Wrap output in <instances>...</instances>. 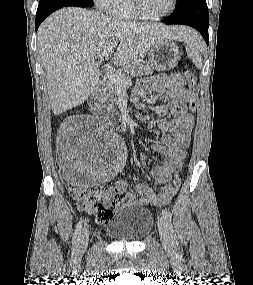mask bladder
I'll use <instances>...</instances> for the list:
<instances>
[{"mask_svg": "<svg viewBox=\"0 0 253 285\" xmlns=\"http://www.w3.org/2000/svg\"><path fill=\"white\" fill-rule=\"evenodd\" d=\"M154 223L150 209L138 205H123L105 227L106 234L119 241H138L146 236Z\"/></svg>", "mask_w": 253, "mask_h": 285, "instance_id": "1", "label": "bladder"}]
</instances>
